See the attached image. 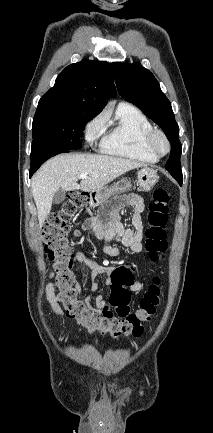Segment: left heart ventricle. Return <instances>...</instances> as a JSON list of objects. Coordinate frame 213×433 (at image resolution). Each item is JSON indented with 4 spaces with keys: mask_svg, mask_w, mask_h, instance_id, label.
Returning a JSON list of instances; mask_svg holds the SVG:
<instances>
[{
    "mask_svg": "<svg viewBox=\"0 0 213 433\" xmlns=\"http://www.w3.org/2000/svg\"><path fill=\"white\" fill-rule=\"evenodd\" d=\"M160 145H161L162 148H164V144L162 142L160 143Z\"/></svg>",
    "mask_w": 213,
    "mask_h": 433,
    "instance_id": "1",
    "label": "left heart ventricle"
}]
</instances>
